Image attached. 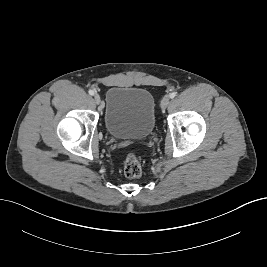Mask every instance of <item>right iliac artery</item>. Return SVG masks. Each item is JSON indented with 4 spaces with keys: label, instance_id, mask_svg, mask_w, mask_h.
<instances>
[{
    "label": "right iliac artery",
    "instance_id": "82829eb1",
    "mask_svg": "<svg viewBox=\"0 0 267 267\" xmlns=\"http://www.w3.org/2000/svg\"><path fill=\"white\" fill-rule=\"evenodd\" d=\"M89 94H90L91 96H93V95L95 94V92H94L93 90H89Z\"/></svg>",
    "mask_w": 267,
    "mask_h": 267
}]
</instances>
